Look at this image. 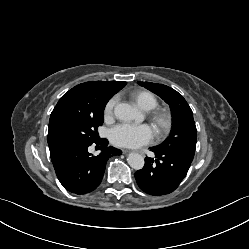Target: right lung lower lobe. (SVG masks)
<instances>
[{
    "label": "right lung lower lobe",
    "instance_id": "obj_1",
    "mask_svg": "<svg viewBox=\"0 0 249 249\" xmlns=\"http://www.w3.org/2000/svg\"><path fill=\"white\" fill-rule=\"evenodd\" d=\"M102 149L98 156L88 152L91 144L67 149L56 160L52 161L56 175L68 191L75 194H85L95 190L104 175L107 160L122 152L113 147H107L106 139L93 142Z\"/></svg>",
    "mask_w": 249,
    "mask_h": 249
}]
</instances>
